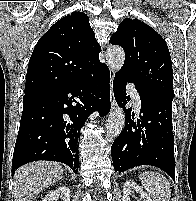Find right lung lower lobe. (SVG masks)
<instances>
[{"label":"right lung lower lobe","mask_w":196,"mask_h":201,"mask_svg":"<svg viewBox=\"0 0 196 201\" xmlns=\"http://www.w3.org/2000/svg\"><path fill=\"white\" fill-rule=\"evenodd\" d=\"M109 80V69L99 62L71 81L25 94L12 176L37 160L62 162L78 173L80 130L93 111L109 112Z\"/></svg>","instance_id":"right-lung-lower-lobe-1"}]
</instances>
